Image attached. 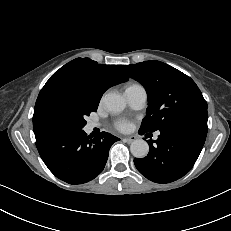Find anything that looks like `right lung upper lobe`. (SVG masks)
<instances>
[{
    "mask_svg": "<svg viewBox=\"0 0 231 231\" xmlns=\"http://www.w3.org/2000/svg\"><path fill=\"white\" fill-rule=\"evenodd\" d=\"M127 80L128 77L121 72L120 65H103L89 58H76L49 78L41 89L36 104L48 93L58 88L71 86L86 88L99 102L108 88Z\"/></svg>",
    "mask_w": 231,
    "mask_h": 231,
    "instance_id": "obj_1",
    "label": "right lung upper lobe"
}]
</instances>
